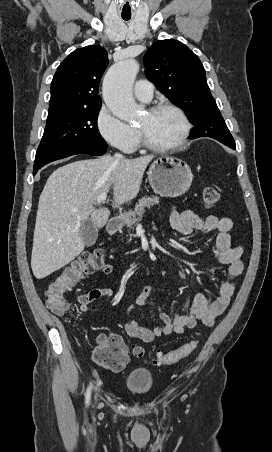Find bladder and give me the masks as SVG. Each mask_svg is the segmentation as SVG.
<instances>
[{
	"instance_id": "obj_1",
	"label": "bladder",
	"mask_w": 272,
	"mask_h": 452,
	"mask_svg": "<svg viewBox=\"0 0 272 452\" xmlns=\"http://www.w3.org/2000/svg\"><path fill=\"white\" fill-rule=\"evenodd\" d=\"M125 386L130 392L136 395H145L153 387L152 373L148 369L133 368L126 376Z\"/></svg>"
}]
</instances>
